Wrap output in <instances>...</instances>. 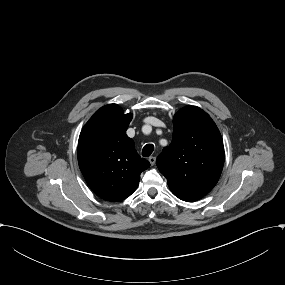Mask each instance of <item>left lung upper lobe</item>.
<instances>
[{"label":"left lung upper lobe","instance_id":"left-lung-upper-lobe-1","mask_svg":"<svg viewBox=\"0 0 285 285\" xmlns=\"http://www.w3.org/2000/svg\"><path fill=\"white\" fill-rule=\"evenodd\" d=\"M172 142L156 160L172 193L194 202L218 182L224 165L221 134L210 116L196 106L182 108L173 118Z\"/></svg>","mask_w":285,"mask_h":285}]
</instances>
